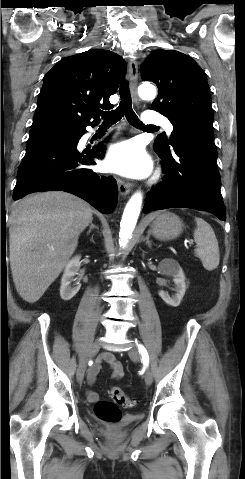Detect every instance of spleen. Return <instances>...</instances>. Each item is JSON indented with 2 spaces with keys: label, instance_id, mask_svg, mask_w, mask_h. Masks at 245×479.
<instances>
[{
  "label": "spleen",
  "instance_id": "obj_1",
  "mask_svg": "<svg viewBox=\"0 0 245 479\" xmlns=\"http://www.w3.org/2000/svg\"><path fill=\"white\" fill-rule=\"evenodd\" d=\"M196 229L194 230V240L197 244L195 255L200 258L203 267L212 271L219 265L220 254L218 241L215 233L204 219L196 217Z\"/></svg>",
  "mask_w": 245,
  "mask_h": 479
}]
</instances>
